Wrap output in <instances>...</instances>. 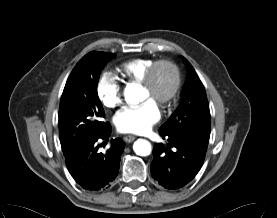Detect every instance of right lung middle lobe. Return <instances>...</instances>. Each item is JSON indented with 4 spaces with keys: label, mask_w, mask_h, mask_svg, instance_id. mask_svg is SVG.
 <instances>
[{
    "label": "right lung middle lobe",
    "mask_w": 277,
    "mask_h": 218,
    "mask_svg": "<svg viewBox=\"0 0 277 218\" xmlns=\"http://www.w3.org/2000/svg\"><path fill=\"white\" fill-rule=\"evenodd\" d=\"M113 54L90 52L71 72L59 108V135L65 156L104 133L108 122L97 94L99 75Z\"/></svg>",
    "instance_id": "right-lung-middle-lobe-1"
}]
</instances>
